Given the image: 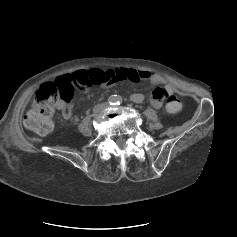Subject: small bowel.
<instances>
[{"label": "small bowel", "instance_id": "1", "mask_svg": "<svg viewBox=\"0 0 237 237\" xmlns=\"http://www.w3.org/2000/svg\"><path fill=\"white\" fill-rule=\"evenodd\" d=\"M105 76L104 86H112L120 81L138 82L139 80H148L154 85H162L156 88L151 96V104L155 108H161L165 99L169 98L174 93V87L167 82V80L159 74L126 68H114L102 71ZM131 99L135 103H141L144 96L141 93H134ZM57 109L62 112L65 118H70L72 115L71 104L59 102Z\"/></svg>", "mask_w": 237, "mask_h": 237}]
</instances>
